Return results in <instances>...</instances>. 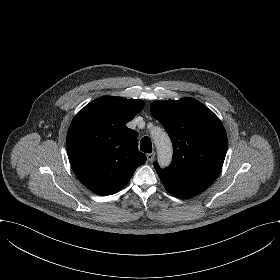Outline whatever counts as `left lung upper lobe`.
<instances>
[{
    "instance_id": "obj_1",
    "label": "left lung upper lobe",
    "mask_w": 280,
    "mask_h": 280,
    "mask_svg": "<svg viewBox=\"0 0 280 280\" xmlns=\"http://www.w3.org/2000/svg\"><path fill=\"white\" fill-rule=\"evenodd\" d=\"M150 110L173 143L169 167H154L166 190L178 198H191L217 178L227 151V135L219 118L193 98L156 101Z\"/></svg>"
}]
</instances>
